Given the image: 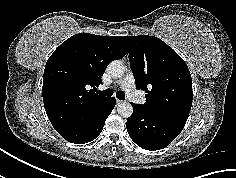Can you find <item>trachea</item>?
<instances>
[{
	"instance_id": "3493384b",
	"label": "trachea",
	"mask_w": 236,
	"mask_h": 178,
	"mask_svg": "<svg viewBox=\"0 0 236 178\" xmlns=\"http://www.w3.org/2000/svg\"><path fill=\"white\" fill-rule=\"evenodd\" d=\"M99 94L103 95V96L110 97V96L113 95V90L109 88V89H106L104 91H99ZM116 97L120 100H124L125 99V93L123 91H117L116 92Z\"/></svg>"
}]
</instances>
